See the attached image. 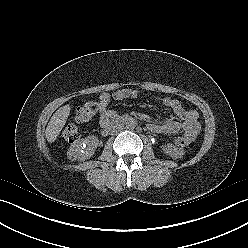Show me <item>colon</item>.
<instances>
[{"label":"colon","instance_id":"colon-1","mask_svg":"<svg viewBox=\"0 0 248 248\" xmlns=\"http://www.w3.org/2000/svg\"><path fill=\"white\" fill-rule=\"evenodd\" d=\"M99 110V103L96 101H89L83 106L76 109L75 118L78 122L89 121ZM79 137L78 127L74 123L68 124L61 133L63 141L72 143ZM191 140L185 136L178 137L174 140V143L179 147H185L189 145Z\"/></svg>","mask_w":248,"mask_h":248}]
</instances>
